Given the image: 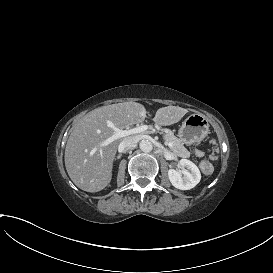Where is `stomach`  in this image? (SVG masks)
<instances>
[{
    "mask_svg": "<svg viewBox=\"0 0 273 273\" xmlns=\"http://www.w3.org/2000/svg\"><path fill=\"white\" fill-rule=\"evenodd\" d=\"M209 120L203 114L189 115L178 130V138L184 145L200 142L209 134Z\"/></svg>",
    "mask_w": 273,
    "mask_h": 273,
    "instance_id": "stomach-1",
    "label": "stomach"
}]
</instances>
